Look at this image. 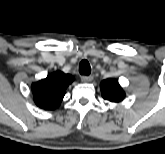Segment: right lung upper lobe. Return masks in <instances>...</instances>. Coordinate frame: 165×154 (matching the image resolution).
Listing matches in <instances>:
<instances>
[{
    "label": "right lung upper lobe",
    "mask_w": 165,
    "mask_h": 154,
    "mask_svg": "<svg viewBox=\"0 0 165 154\" xmlns=\"http://www.w3.org/2000/svg\"><path fill=\"white\" fill-rule=\"evenodd\" d=\"M74 78L70 74L61 71L54 72L32 84L34 102L40 108L46 110L56 109L66 92V88L73 82Z\"/></svg>",
    "instance_id": "1"
}]
</instances>
